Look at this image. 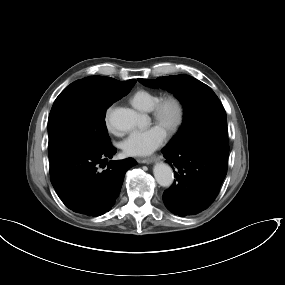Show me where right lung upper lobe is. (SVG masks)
<instances>
[{
  "instance_id": "1",
  "label": "right lung upper lobe",
  "mask_w": 285,
  "mask_h": 285,
  "mask_svg": "<svg viewBox=\"0 0 285 285\" xmlns=\"http://www.w3.org/2000/svg\"><path fill=\"white\" fill-rule=\"evenodd\" d=\"M115 81H117V80H115ZM117 82H119L124 87L132 88L134 86V84L136 83V80L135 79H131V80H128V81H125V82H120V81H117Z\"/></svg>"
}]
</instances>
